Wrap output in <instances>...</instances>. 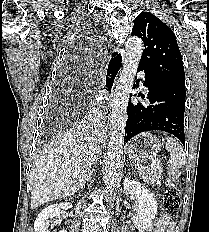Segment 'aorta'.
I'll use <instances>...</instances> for the list:
<instances>
[{
	"instance_id": "aorta-1",
	"label": "aorta",
	"mask_w": 209,
	"mask_h": 232,
	"mask_svg": "<svg viewBox=\"0 0 209 232\" xmlns=\"http://www.w3.org/2000/svg\"><path fill=\"white\" fill-rule=\"evenodd\" d=\"M143 49V42L139 38H130L126 42L124 65L111 104L110 137L106 163L103 169V182L107 193H112L117 187L122 169L127 107Z\"/></svg>"
}]
</instances>
